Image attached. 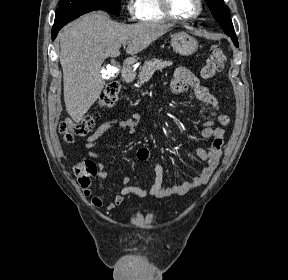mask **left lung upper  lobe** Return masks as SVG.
Instances as JSON below:
<instances>
[{
    "mask_svg": "<svg viewBox=\"0 0 288 280\" xmlns=\"http://www.w3.org/2000/svg\"><path fill=\"white\" fill-rule=\"evenodd\" d=\"M214 18L219 22L223 31L229 36L234 45L238 47V40L233 28L228 7L224 5V0H205Z\"/></svg>",
    "mask_w": 288,
    "mask_h": 280,
    "instance_id": "1",
    "label": "left lung upper lobe"
}]
</instances>
